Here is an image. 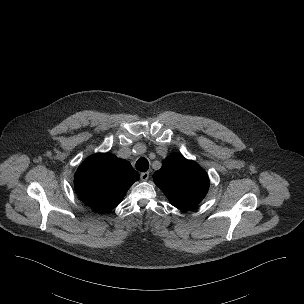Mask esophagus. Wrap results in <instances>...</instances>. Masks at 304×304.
I'll return each mask as SVG.
<instances>
[{"label": "esophagus", "instance_id": "obj_1", "mask_svg": "<svg viewBox=\"0 0 304 304\" xmlns=\"http://www.w3.org/2000/svg\"><path fill=\"white\" fill-rule=\"evenodd\" d=\"M140 178L142 181H146L149 178V172L141 173Z\"/></svg>", "mask_w": 304, "mask_h": 304}]
</instances>
